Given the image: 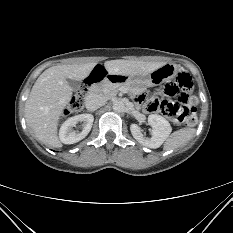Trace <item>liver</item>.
<instances>
[{"instance_id":"obj_1","label":"liver","mask_w":233,"mask_h":233,"mask_svg":"<svg viewBox=\"0 0 233 233\" xmlns=\"http://www.w3.org/2000/svg\"><path fill=\"white\" fill-rule=\"evenodd\" d=\"M96 63L58 65L45 70L34 83L25 103L28 127L42 142L61 147L57 129L63 110L72 98L67 80L82 81L89 76ZM164 63L134 60H110L104 63L109 74L146 76Z\"/></svg>"}]
</instances>
